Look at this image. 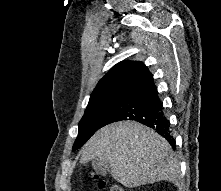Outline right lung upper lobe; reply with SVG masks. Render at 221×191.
Wrapping results in <instances>:
<instances>
[{"label": "right lung upper lobe", "instance_id": "right-lung-upper-lobe-1", "mask_svg": "<svg viewBox=\"0 0 221 191\" xmlns=\"http://www.w3.org/2000/svg\"><path fill=\"white\" fill-rule=\"evenodd\" d=\"M151 77V73L142 62L122 61L98 82L90 96L88 106L121 99L131 89Z\"/></svg>", "mask_w": 221, "mask_h": 191}]
</instances>
